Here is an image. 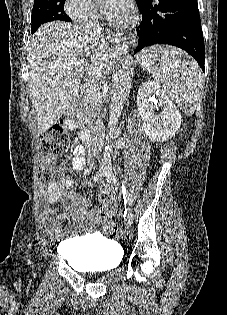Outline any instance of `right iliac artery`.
<instances>
[{
	"label": "right iliac artery",
	"instance_id": "obj_1",
	"mask_svg": "<svg viewBox=\"0 0 227 315\" xmlns=\"http://www.w3.org/2000/svg\"><path fill=\"white\" fill-rule=\"evenodd\" d=\"M106 170L105 169H100L96 172V174L93 176L94 181H100L105 177Z\"/></svg>",
	"mask_w": 227,
	"mask_h": 315
}]
</instances>
